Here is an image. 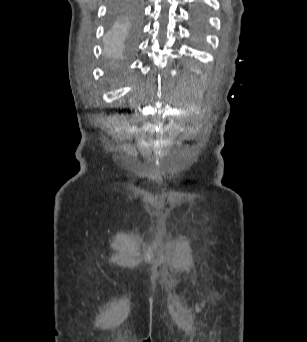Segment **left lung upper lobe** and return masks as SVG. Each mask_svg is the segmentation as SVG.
I'll return each mask as SVG.
<instances>
[{
    "instance_id": "1",
    "label": "left lung upper lobe",
    "mask_w": 307,
    "mask_h": 342,
    "mask_svg": "<svg viewBox=\"0 0 307 342\" xmlns=\"http://www.w3.org/2000/svg\"><path fill=\"white\" fill-rule=\"evenodd\" d=\"M196 19H197L198 21H199V19H201L200 16H199L198 14L196 15Z\"/></svg>"
}]
</instances>
